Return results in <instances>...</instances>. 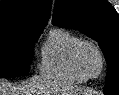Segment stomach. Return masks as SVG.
<instances>
[{
    "label": "stomach",
    "instance_id": "stomach-1",
    "mask_svg": "<svg viewBox=\"0 0 119 95\" xmlns=\"http://www.w3.org/2000/svg\"><path fill=\"white\" fill-rule=\"evenodd\" d=\"M70 95H88V94L82 91H74Z\"/></svg>",
    "mask_w": 119,
    "mask_h": 95
}]
</instances>
